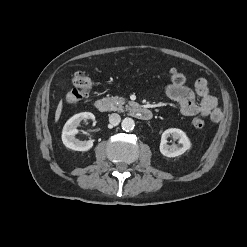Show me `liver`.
Instances as JSON below:
<instances>
[{
  "instance_id": "1",
  "label": "liver",
  "mask_w": 247,
  "mask_h": 247,
  "mask_svg": "<svg viewBox=\"0 0 247 247\" xmlns=\"http://www.w3.org/2000/svg\"><path fill=\"white\" fill-rule=\"evenodd\" d=\"M62 101L59 102L57 109H56V113H55V121L57 122L60 118L61 112H62Z\"/></svg>"
}]
</instances>
